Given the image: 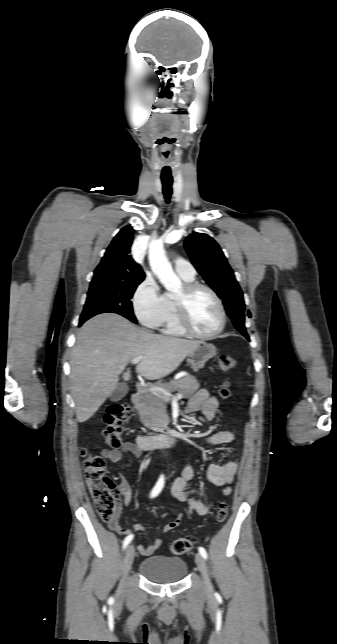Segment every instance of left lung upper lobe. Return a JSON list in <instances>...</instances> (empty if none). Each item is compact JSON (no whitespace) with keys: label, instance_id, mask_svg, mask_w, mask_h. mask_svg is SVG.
I'll list each match as a JSON object with an SVG mask.
<instances>
[{"label":"left lung upper lobe","instance_id":"obj_1","mask_svg":"<svg viewBox=\"0 0 337 644\" xmlns=\"http://www.w3.org/2000/svg\"><path fill=\"white\" fill-rule=\"evenodd\" d=\"M190 260L206 283L223 300L235 328L248 340L245 329V303L234 272L216 241L202 233L189 235L184 243ZM251 317V313H247Z\"/></svg>","mask_w":337,"mask_h":644}]
</instances>
